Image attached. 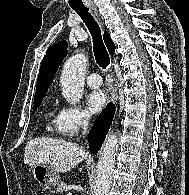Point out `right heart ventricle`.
<instances>
[{"mask_svg":"<svg viewBox=\"0 0 189 195\" xmlns=\"http://www.w3.org/2000/svg\"><path fill=\"white\" fill-rule=\"evenodd\" d=\"M59 113L56 112L55 105H52L46 115V129L48 132L58 131Z\"/></svg>","mask_w":189,"mask_h":195,"instance_id":"obj_1","label":"right heart ventricle"}]
</instances>
